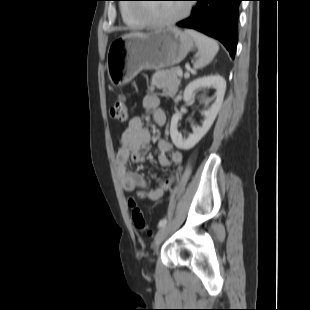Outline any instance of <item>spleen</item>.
Wrapping results in <instances>:
<instances>
[{
    "label": "spleen",
    "instance_id": "1",
    "mask_svg": "<svg viewBox=\"0 0 310 310\" xmlns=\"http://www.w3.org/2000/svg\"><path fill=\"white\" fill-rule=\"evenodd\" d=\"M186 33L192 37L198 48L199 59L194 63V68L200 69L205 67L217 54L219 50L218 43L214 39L194 30L188 29Z\"/></svg>",
    "mask_w": 310,
    "mask_h": 310
}]
</instances>
